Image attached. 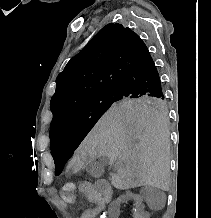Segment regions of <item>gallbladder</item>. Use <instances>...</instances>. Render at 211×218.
Here are the masks:
<instances>
[{
    "label": "gallbladder",
    "mask_w": 211,
    "mask_h": 218,
    "mask_svg": "<svg viewBox=\"0 0 211 218\" xmlns=\"http://www.w3.org/2000/svg\"><path fill=\"white\" fill-rule=\"evenodd\" d=\"M106 164H108L107 156L100 158L99 162H97L96 158H93V160L88 162L86 170L93 178H100L105 172L104 166H106Z\"/></svg>",
    "instance_id": "bac80fb5"
}]
</instances>
